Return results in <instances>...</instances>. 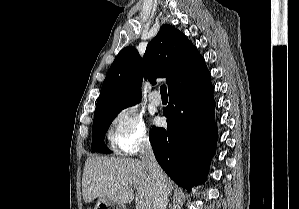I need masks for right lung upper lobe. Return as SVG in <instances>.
I'll list each match as a JSON object with an SVG mask.
<instances>
[{"label":"right lung upper lobe","instance_id":"right-lung-upper-lobe-1","mask_svg":"<svg viewBox=\"0 0 299 209\" xmlns=\"http://www.w3.org/2000/svg\"><path fill=\"white\" fill-rule=\"evenodd\" d=\"M208 72L192 42L176 28L162 25L147 45L143 59L132 46L118 53L102 84L94 115L139 103L142 76L153 84L156 77H166L170 91Z\"/></svg>","mask_w":299,"mask_h":209}]
</instances>
